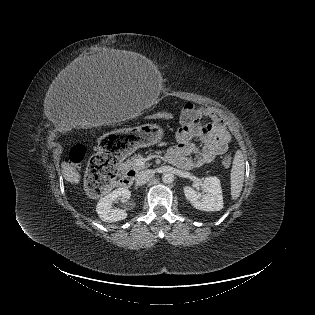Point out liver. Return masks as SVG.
<instances>
[{
  "label": "liver",
  "instance_id": "6515ba94",
  "mask_svg": "<svg viewBox=\"0 0 315 315\" xmlns=\"http://www.w3.org/2000/svg\"><path fill=\"white\" fill-rule=\"evenodd\" d=\"M133 57L132 52L104 49L98 54L86 56L68 73L69 76L93 77L99 74H116L128 70L129 63ZM76 72V73H75ZM121 118H127L124 114ZM62 175L71 184H78L81 178L79 172L67 162H62Z\"/></svg>",
  "mask_w": 315,
  "mask_h": 315
}]
</instances>
